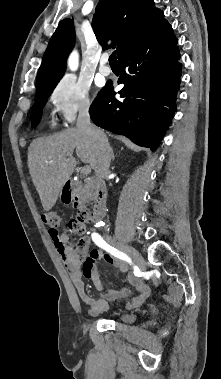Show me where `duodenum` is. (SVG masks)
Here are the masks:
<instances>
[{
	"instance_id": "obj_1",
	"label": "duodenum",
	"mask_w": 221,
	"mask_h": 379,
	"mask_svg": "<svg viewBox=\"0 0 221 379\" xmlns=\"http://www.w3.org/2000/svg\"><path fill=\"white\" fill-rule=\"evenodd\" d=\"M81 185L78 181L68 180L64 186V199L68 203L75 202L80 197ZM106 210V191L102 187H98L95 191L94 207L91 219L93 222L100 221Z\"/></svg>"
}]
</instances>
